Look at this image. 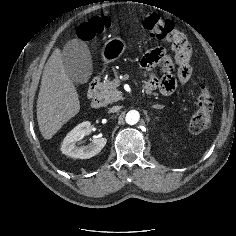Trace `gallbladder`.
<instances>
[{
	"label": "gallbladder",
	"mask_w": 236,
	"mask_h": 236,
	"mask_svg": "<svg viewBox=\"0 0 236 236\" xmlns=\"http://www.w3.org/2000/svg\"><path fill=\"white\" fill-rule=\"evenodd\" d=\"M62 60L68 77L75 83H86L92 74V60L88 46L80 40H71L63 48Z\"/></svg>",
	"instance_id": "obj_1"
}]
</instances>
